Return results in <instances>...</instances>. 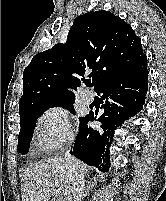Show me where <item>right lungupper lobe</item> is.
Wrapping results in <instances>:
<instances>
[{"mask_svg": "<svg viewBox=\"0 0 166 201\" xmlns=\"http://www.w3.org/2000/svg\"><path fill=\"white\" fill-rule=\"evenodd\" d=\"M144 57L141 40L109 11L88 12L74 19L65 45L34 56L23 73L19 114L74 101L67 88L80 86L85 72L96 88L109 76Z\"/></svg>", "mask_w": 166, "mask_h": 201, "instance_id": "right-lung-upper-lobe-1", "label": "right lung upper lobe"}]
</instances>
